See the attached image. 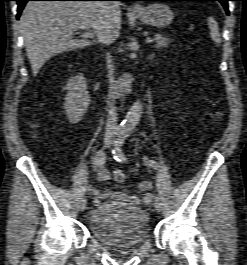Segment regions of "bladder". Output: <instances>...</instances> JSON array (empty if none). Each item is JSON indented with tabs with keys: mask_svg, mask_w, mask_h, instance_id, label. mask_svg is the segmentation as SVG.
Wrapping results in <instances>:
<instances>
[{
	"mask_svg": "<svg viewBox=\"0 0 247 265\" xmlns=\"http://www.w3.org/2000/svg\"><path fill=\"white\" fill-rule=\"evenodd\" d=\"M88 226L98 242L115 249L141 244L150 227L142 207L117 201L99 203L89 214Z\"/></svg>",
	"mask_w": 247,
	"mask_h": 265,
	"instance_id": "obj_1",
	"label": "bladder"
}]
</instances>
